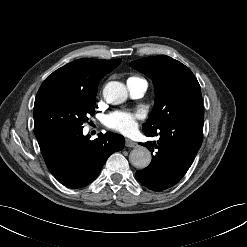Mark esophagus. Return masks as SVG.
<instances>
[{
  "label": "esophagus",
  "instance_id": "1",
  "mask_svg": "<svg viewBox=\"0 0 247 247\" xmlns=\"http://www.w3.org/2000/svg\"><path fill=\"white\" fill-rule=\"evenodd\" d=\"M126 147L136 148L138 147V144L130 139L125 140Z\"/></svg>",
  "mask_w": 247,
  "mask_h": 247
}]
</instances>
